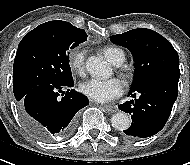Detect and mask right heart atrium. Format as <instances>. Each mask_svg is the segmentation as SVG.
<instances>
[{
  "instance_id": "d8ad5b80",
  "label": "right heart atrium",
  "mask_w": 190,
  "mask_h": 165,
  "mask_svg": "<svg viewBox=\"0 0 190 165\" xmlns=\"http://www.w3.org/2000/svg\"><path fill=\"white\" fill-rule=\"evenodd\" d=\"M85 60V50H74L69 56V65L72 71H74L78 75H83L85 73Z\"/></svg>"
}]
</instances>
